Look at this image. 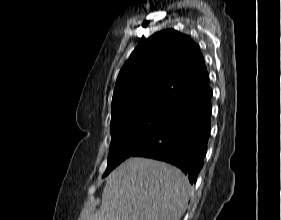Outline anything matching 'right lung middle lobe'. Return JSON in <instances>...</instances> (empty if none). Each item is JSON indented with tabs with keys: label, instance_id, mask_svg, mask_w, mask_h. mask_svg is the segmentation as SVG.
<instances>
[{
	"label": "right lung middle lobe",
	"instance_id": "right-lung-middle-lobe-1",
	"mask_svg": "<svg viewBox=\"0 0 281 220\" xmlns=\"http://www.w3.org/2000/svg\"><path fill=\"white\" fill-rule=\"evenodd\" d=\"M168 117L167 114L146 113L125 116L111 122L110 152L103 177L143 146Z\"/></svg>",
	"mask_w": 281,
	"mask_h": 220
}]
</instances>
